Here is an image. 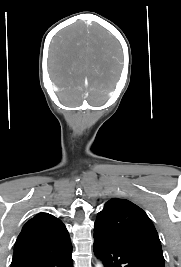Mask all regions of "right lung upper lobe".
Instances as JSON below:
<instances>
[{"label": "right lung upper lobe", "mask_w": 181, "mask_h": 267, "mask_svg": "<svg viewBox=\"0 0 181 267\" xmlns=\"http://www.w3.org/2000/svg\"><path fill=\"white\" fill-rule=\"evenodd\" d=\"M72 248L64 224L48 213H39L30 219L19 234L13 259L47 256Z\"/></svg>", "instance_id": "obj_1"}]
</instances>
